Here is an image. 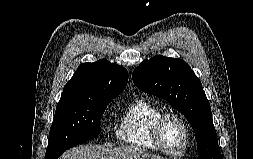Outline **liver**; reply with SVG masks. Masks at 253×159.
Instances as JSON below:
<instances>
[{"mask_svg": "<svg viewBox=\"0 0 253 159\" xmlns=\"http://www.w3.org/2000/svg\"><path fill=\"white\" fill-rule=\"evenodd\" d=\"M59 159H164L134 146L111 148L101 145H79L66 151Z\"/></svg>", "mask_w": 253, "mask_h": 159, "instance_id": "liver-1", "label": "liver"}]
</instances>
